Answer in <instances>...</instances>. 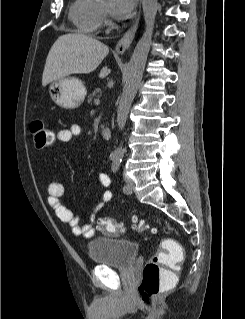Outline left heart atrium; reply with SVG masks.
Wrapping results in <instances>:
<instances>
[{"label":"left heart atrium","mask_w":245,"mask_h":319,"mask_svg":"<svg viewBox=\"0 0 245 319\" xmlns=\"http://www.w3.org/2000/svg\"><path fill=\"white\" fill-rule=\"evenodd\" d=\"M137 0H114V14L119 19H124L132 12Z\"/></svg>","instance_id":"obj_1"}]
</instances>
